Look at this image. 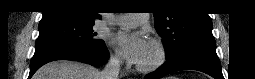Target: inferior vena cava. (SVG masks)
<instances>
[{
    "instance_id": "obj_1",
    "label": "inferior vena cava",
    "mask_w": 255,
    "mask_h": 79,
    "mask_svg": "<svg viewBox=\"0 0 255 79\" xmlns=\"http://www.w3.org/2000/svg\"><path fill=\"white\" fill-rule=\"evenodd\" d=\"M121 60L117 55H111L104 69L100 73L101 79H118Z\"/></svg>"
}]
</instances>
